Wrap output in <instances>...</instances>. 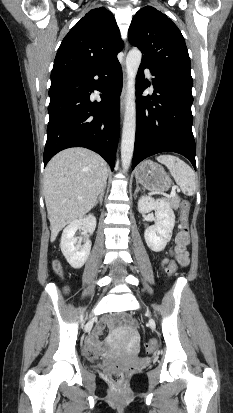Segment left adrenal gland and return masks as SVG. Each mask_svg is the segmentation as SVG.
<instances>
[{
  "label": "left adrenal gland",
  "mask_w": 233,
  "mask_h": 413,
  "mask_svg": "<svg viewBox=\"0 0 233 413\" xmlns=\"http://www.w3.org/2000/svg\"><path fill=\"white\" fill-rule=\"evenodd\" d=\"M139 191H140L139 184L136 183V190H135V192H134V196H136Z\"/></svg>",
  "instance_id": "obj_1"
}]
</instances>
